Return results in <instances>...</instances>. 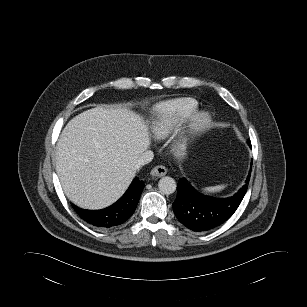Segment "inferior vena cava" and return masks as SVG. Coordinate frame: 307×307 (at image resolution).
Listing matches in <instances>:
<instances>
[{
  "instance_id": "obj_1",
  "label": "inferior vena cava",
  "mask_w": 307,
  "mask_h": 307,
  "mask_svg": "<svg viewBox=\"0 0 307 307\" xmlns=\"http://www.w3.org/2000/svg\"><path fill=\"white\" fill-rule=\"evenodd\" d=\"M153 157L154 154L151 150L143 152L137 161L136 168L139 169L141 166L151 162Z\"/></svg>"
}]
</instances>
